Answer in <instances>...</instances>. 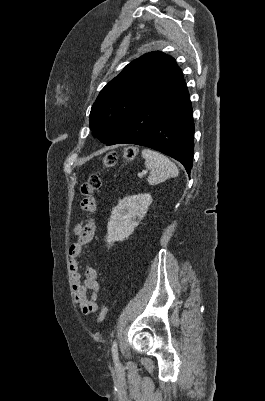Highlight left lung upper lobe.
I'll use <instances>...</instances> for the list:
<instances>
[{"label": "left lung upper lobe", "mask_w": 265, "mask_h": 401, "mask_svg": "<svg viewBox=\"0 0 265 401\" xmlns=\"http://www.w3.org/2000/svg\"><path fill=\"white\" fill-rule=\"evenodd\" d=\"M181 75L175 59L159 51L146 53L126 65L102 89L92 106L93 135L107 143Z\"/></svg>", "instance_id": "1"}]
</instances>
